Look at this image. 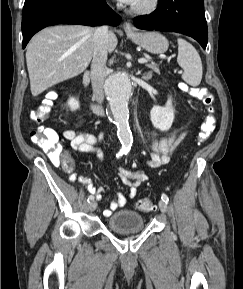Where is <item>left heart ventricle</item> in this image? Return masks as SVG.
Returning <instances> with one entry per match:
<instances>
[{"mask_svg":"<svg viewBox=\"0 0 243 289\" xmlns=\"http://www.w3.org/2000/svg\"><path fill=\"white\" fill-rule=\"evenodd\" d=\"M146 0H136V2L133 5H140Z\"/></svg>","mask_w":243,"mask_h":289,"instance_id":"left-heart-ventricle-1","label":"left heart ventricle"}]
</instances>
